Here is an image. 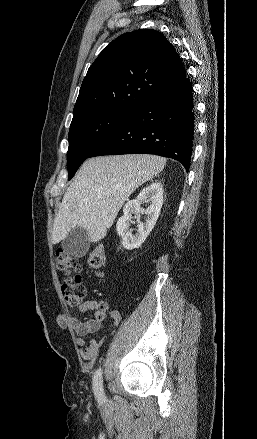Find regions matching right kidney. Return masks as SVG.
<instances>
[{
    "mask_svg": "<svg viewBox=\"0 0 257 439\" xmlns=\"http://www.w3.org/2000/svg\"><path fill=\"white\" fill-rule=\"evenodd\" d=\"M149 204L148 208L144 209L141 204ZM163 204V186L159 182H153L145 187L137 196L135 200L128 201L123 208V216H121L116 224V230L122 238V245L127 250L139 248L150 234L156 221L159 217L160 210ZM145 213L147 218L144 223L137 220V233L132 234V229H129L132 215L135 214L137 218L140 214Z\"/></svg>",
    "mask_w": 257,
    "mask_h": 439,
    "instance_id": "right-kidney-1",
    "label": "right kidney"
}]
</instances>
